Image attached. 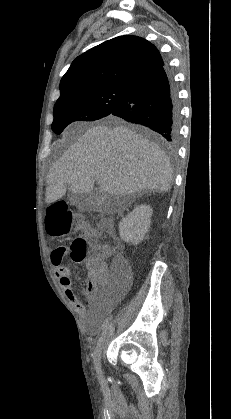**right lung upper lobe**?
<instances>
[{"label": "right lung upper lobe", "mask_w": 231, "mask_h": 419, "mask_svg": "<svg viewBox=\"0 0 231 419\" xmlns=\"http://www.w3.org/2000/svg\"><path fill=\"white\" fill-rule=\"evenodd\" d=\"M164 64L158 49L137 36H119L88 50L71 64L60 82V101L72 93L105 86L132 87Z\"/></svg>", "instance_id": "cb5924a9"}]
</instances>
